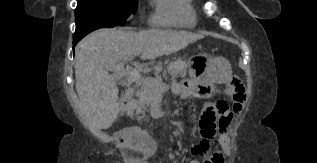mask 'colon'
<instances>
[{
  "instance_id": "5ec220e1",
  "label": "colon",
  "mask_w": 317,
  "mask_h": 163,
  "mask_svg": "<svg viewBox=\"0 0 317 163\" xmlns=\"http://www.w3.org/2000/svg\"><path fill=\"white\" fill-rule=\"evenodd\" d=\"M227 94L232 98L234 105L239 104L243 99L246 101L245 88L236 77H233L229 82ZM226 107L227 104L223 101L204 105L199 117L200 131L203 133H216L219 130L221 115L226 110ZM132 142L138 146V148L131 151V157L135 160L145 159L153 152L152 147L148 151L139 148L148 142V136L145 134L136 132L132 137Z\"/></svg>"
}]
</instances>
